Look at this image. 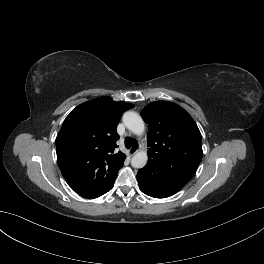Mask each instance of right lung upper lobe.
I'll list each match as a JSON object with an SVG mask.
<instances>
[{"instance_id":"1","label":"right lung upper lobe","mask_w":264,"mask_h":264,"mask_svg":"<svg viewBox=\"0 0 264 264\" xmlns=\"http://www.w3.org/2000/svg\"><path fill=\"white\" fill-rule=\"evenodd\" d=\"M134 107L108 96L82 103L66 117L56 138L57 161L69 186L80 196L97 198L112 189L125 154L116 152V128Z\"/></svg>"}]
</instances>
